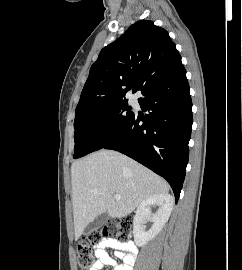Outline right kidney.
Wrapping results in <instances>:
<instances>
[{
	"instance_id": "1",
	"label": "right kidney",
	"mask_w": 242,
	"mask_h": 270,
	"mask_svg": "<svg viewBox=\"0 0 242 270\" xmlns=\"http://www.w3.org/2000/svg\"><path fill=\"white\" fill-rule=\"evenodd\" d=\"M154 205L159 206V209L152 214L151 207ZM173 205L174 199L168 193L153 194L140 203L133 220L134 241L137 246H144L159 234L171 215ZM146 220L153 222L149 231H145L143 226Z\"/></svg>"
}]
</instances>
